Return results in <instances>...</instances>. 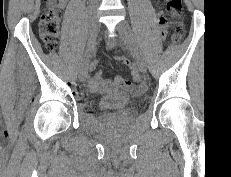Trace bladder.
<instances>
[{"mask_svg":"<svg viewBox=\"0 0 231 177\" xmlns=\"http://www.w3.org/2000/svg\"><path fill=\"white\" fill-rule=\"evenodd\" d=\"M131 102L132 99L128 95L122 92H114L102 96L98 102V105L101 110H109L130 104Z\"/></svg>","mask_w":231,"mask_h":177,"instance_id":"obj_1","label":"bladder"}]
</instances>
